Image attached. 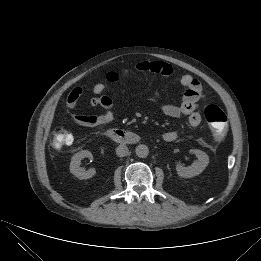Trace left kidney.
<instances>
[{
	"label": "left kidney",
	"mask_w": 261,
	"mask_h": 261,
	"mask_svg": "<svg viewBox=\"0 0 261 261\" xmlns=\"http://www.w3.org/2000/svg\"><path fill=\"white\" fill-rule=\"evenodd\" d=\"M190 152L196 155V157L198 158V162H195L187 167L178 164L176 166V171L180 177L192 178L194 176H197L201 174L209 164V157L205 152L198 149L190 150Z\"/></svg>",
	"instance_id": "left-kidney-1"
}]
</instances>
